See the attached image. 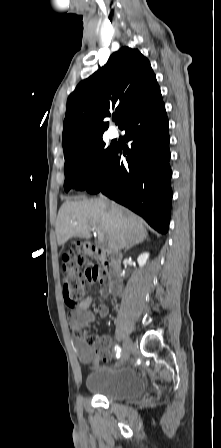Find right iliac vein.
<instances>
[{
	"label": "right iliac vein",
	"instance_id": "1",
	"mask_svg": "<svg viewBox=\"0 0 221 448\" xmlns=\"http://www.w3.org/2000/svg\"><path fill=\"white\" fill-rule=\"evenodd\" d=\"M135 347L131 341L130 338H125L124 342H123V350H122V354H121V362L123 363L124 361H126L131 352L134 351Z\"/></svg>",
	"mask_w": 221,
	"mask_h": 448
}]
</instances>
